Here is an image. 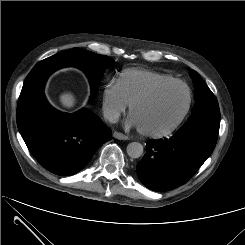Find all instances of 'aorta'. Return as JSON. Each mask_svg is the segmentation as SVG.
Returning a JSON list of instances; mask_svg holds the SVG:
<instances>
[{"mask_svg": "<svg viewBox=\"0 0 245 245\" xmlns=\"http://www.w3.org/2000/svg\"><path fill=\"white\" fill-rule=\"evenodd\" d=\"M127 154L131 158H139L143 154V145L139 142H131L126 148Z\"/></svg>", "mask_w": 245, "mask_h": 245, "instance_id": "obj_1", "label": "aorta"}]
</instances>
